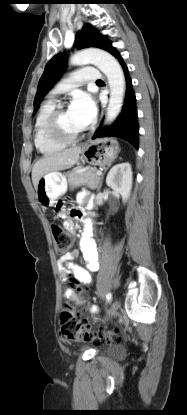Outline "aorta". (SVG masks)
Wrapping results in <instances>:
<instances>
[{"instance_id":"762f6f07","label":"aorta","mask_w":187,"mask_h":415,"mask_svg":"<svg viewBox=\"0 0 187 415\" xmlns=\"http://www.w3.org/2000/svg\"><path fill=\"white\" fill-rule=\"evenodd\" d=\"M71 64L76 66L93 64L107 76L110 98L106 113V123L114 121L122 109L126 86L124 73L118 61L104 50L86 49L73 55Z\"/></svg>"}]
</instances>
